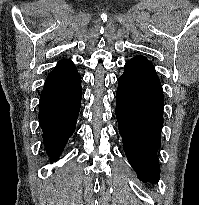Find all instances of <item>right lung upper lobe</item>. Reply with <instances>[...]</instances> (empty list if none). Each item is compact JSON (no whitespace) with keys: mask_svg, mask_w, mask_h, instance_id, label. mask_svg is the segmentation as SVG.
I'll list each match as a JSON object with an SVG mask.
<instances>
[{"mask_svg":"<svg viewBox=\"0 0 199 205\" xmlns=\"http://www.w3.org/2000/svg\"><path fill=\"white\" fill-rule=\"evenodd\" d=\"M76 67L75 65L73 64V62L69 59H62L60 60L56 67L53 69L52 73H55V74H69V73H72L74 71H76Z\"/></svg>","mask_w":199,"mask_h":205,"instance_id":"obj_1","label":"right lung upper lobe"}]
</instances>
